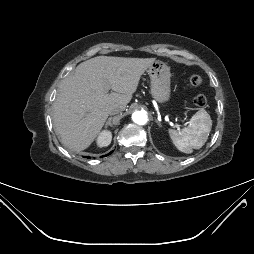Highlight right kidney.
<instances>
[{
	"label": "right kidney",
	"mask_w": 254,
	"mask_h": 254,
	"mask_svg": "<svg viewBox=\"0 0 254 254\" xmlns=\"http://www.w3.org/2000/svg\"><path fill=\"white\" fill-rule=\"evenodd\" d=\"M112 140V133L110 131L104 130L100 133L97 138V145L99 147H107Z\"/></svg>",
	"instance_id": "right-kidney-1"
}]
</instances>
